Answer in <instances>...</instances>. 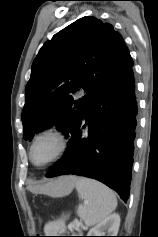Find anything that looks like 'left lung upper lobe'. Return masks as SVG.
Instances as JSON below:
<instances>
[{"label":"left lung upper lobe","mask_w":158,"mask_h":237,"mask_svg":"<svg viewBox=\"0 0 158 237\" xmlns=\"http://www.w3.org/2000/svg\"><path fill=\"white\" fill-rule=\"evenodd\" d=\"M133 66L122 36L109 23L82 17L47 41L35 58L25 89L23 136L53 125L66 138L89 102ZM78 93H84L78 98Z\"/></svg>","instance_id":"5c2ea615"}]
</instances>
